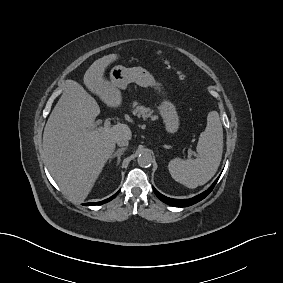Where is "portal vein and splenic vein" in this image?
Returning <instances> with one entry per match:
<instances>
[{
	"instance_id": "1",
	"label": "portal vein and splenic vein",
	"mask_w": 283,
	"mask_h": 283,
	"mask_svg": "<svg viewBox=\"0 0 283 283\" xmlns=\"http://www.w3.org/2000/svg\"><path fill=\"white\" fill-rule=\"evenodd\" d=\"M101 124V120H98V121H96V123L94 124V128L95 127H97L98 125H100ZM111 126V122H110V120L109 119H106L105 121H104V125H103V127H105V128H109ZM193 154V152L191 151V152H189V155H192Z\"/></svg>"
}]
</instances>
